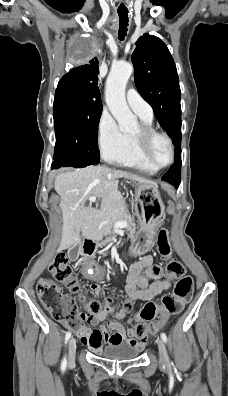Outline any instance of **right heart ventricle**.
I'll list each match as a JSON object with an SVG mask.
<instances>
[{
  "label": "right heart ventricle",
  "instance_id": "obj_1",
  "mask_svg": "<svg viewBox=\"0 0 228 396\" xmlns=\"http://www.w3.org/2000/svg\"><path fill=\"white\" fill-rule=\"evenodd\" d=\"M140 118L142 119L143 124L152 126V118L142 116H140ZM113 162L124 167L136 169L146 174H153L156 172L155 169L149 167L143 161L132 136H127V147L125 151Z\"/></svg>",
  "mask_w": 228,
  "mask_h": 396
}]
</instances>
